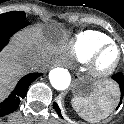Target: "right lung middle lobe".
I'll use <instances>...</instances> for the list:
<instances>
[{
  "mask_svg": "<svg viewBox=\"0 0 124 124\" xmlns=\"http://www.w3.org/2000/svg\"><path fill=\"white\" fill-rule=\"evenodd\" d=\"M26 20V15L22 11H11L0 14V21L23 22Z\"/></svg>",
  "mask_w": 124,
  "mask_h": 124,
  "instance_id": "1",
  "label": "right lung middle lobe"
}]
</instances>
